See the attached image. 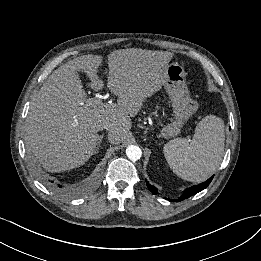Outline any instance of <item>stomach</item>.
<instances>
[{
    "instance_id": "0dacf381",
    "label": "stomach",
    "mask_w": 261,
    "mask_h": 261,
    "mask_svg": "<svg viewBox=\"0 0 261 261\" xmlns=\"http://www.w3.org/2000/svg\"><path fill=\"white\" fill-rule=\"evenodd\" d=\"M164 88L167 91L173 107L171 122L160 131V137L169 139L181 133L182 127L197 111L199 105L193 100L186 84V73L178 63H171L166 69Z\"/></svg>"
}]
</instances>
